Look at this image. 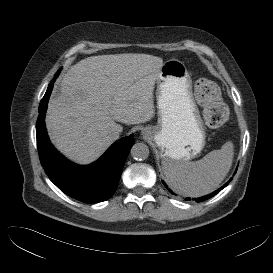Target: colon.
I'll return each instance as SVG.
<instances>
[{
    "label": "colon",
    "mask_w": 273,
    "mask_h": 273,
    "mask_svg": "<svg viewBox=\"0 0 273 273\" xmlns=\"http://www.w3.org/2000/svg\"><path fill=\"white\" fill-rule=\"evenodd\" d=\"M194 92L197 100L203 106V118L210 129L222 127L228 120V110L220 101L218 86L205 78L196 80Z\"/></svg>",
    "instance_id": "obj_1"
}]
</instances>
